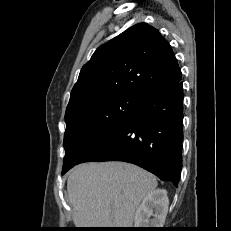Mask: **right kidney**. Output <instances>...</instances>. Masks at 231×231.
I'll return each mask as SVG.
<instances>
[{"instance_id":"1","label":"right kidney","mask_w":231,"mask_h":231,"mask_svg":"<svg viewBox=\"0 0 231 231\" xmlns=\"http://www.w3.org/2000/svg\"><path fill=\"white\" fill-rule=\"evenodd\" d=\"M168 206L169 199L166 190L156 189L150 192L137 208L135 228H162L168 212Z\"/></svg>"}]
</instances>
